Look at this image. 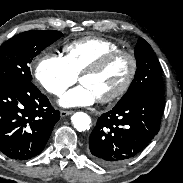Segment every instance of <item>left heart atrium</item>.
Wrapping results in <instances>:
<instances>
[{"label": "left heart atrium", "instance_id": "39dd6f15", "mask_svg": "<svg viewBox=\"0 0 183 183\" xmlns=\"http://www.w3.org/2000/svg\"><path fill=\"white\" fill-rule=\"evenodd\" d=\"M97 100L95 94L85 85L77 86L67 92L60 100L64 107H80L92 105Z\"/></svg>", "mask_w": 183, "mask_h": 183}]
</instances>
